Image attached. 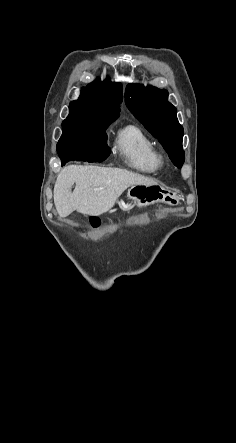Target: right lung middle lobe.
Listing matches in <instances>:
<instances>
[{"label":"right lung middle lobe","instance_id":"1","mask_svg":"<svg viewBox=\"0 0 236 443\" xmlns=\"http://www.w3.org/2000/svg\"><path fill=\"white\" fill-rule=\"evenodd\" d=\"M116 119L104 115L69 114L63 121V134L57 144V151L68 146H107L105 130Z\"/></svg>","mask_w":236,"mask_h":443}]
</instances>
